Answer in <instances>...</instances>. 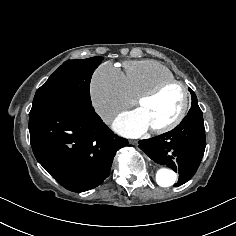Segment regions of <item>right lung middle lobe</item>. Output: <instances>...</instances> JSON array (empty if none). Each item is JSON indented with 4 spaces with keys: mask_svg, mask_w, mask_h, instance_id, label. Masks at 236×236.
Wrapping results in <instances>:
<instances>
[{
    "mask_svg": "<svg viewBox=\"0 0 236 236\" xmlns=\"http://www.w3.org/2000/svg\"><path fill=\"white\" fill-rule=\"evenodd\" d=\"M103 57L64 62L36 91L29 117L62 107H91L90 81Z\"/></svg>",
    "mask_w": 236,
    "mask_h": 236,
    "instance_id": "dd1d6c3e",
    "label": "right lung middle lobe"
}]
</instances>
